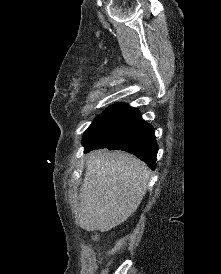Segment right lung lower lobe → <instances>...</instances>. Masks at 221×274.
Returning a JSON list of instances; mask_svg holds the SVG:
<instances>
[{"instance_id": "right-lung-lower-lobe-1", "label": "right lung lower lobe", "mask_w": 221, "mask_h": 274, "mask_svg": "<svg viewBox=\"0 0 221 274\" xmlns=\"http://www.w3.org/2000/svg\"><path fill=\"white\" fill-rule=\"evenodd\" d=\"M83 145L86 152L100 148L126 151L155 169L158 145L154 129L136 108L128 107L106 129Z\"/></svg>"}]
</instances>
